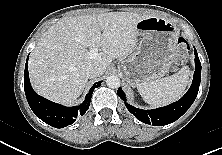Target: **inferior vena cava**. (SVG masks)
Segmentation results:
<instances>
[{"label":"inferior vena cava","instance_id":"inferior-vena-cava-1","mask_svg":"<svg viewBox=\"0 0 222 155\" xmlns=\"http://www.w3.org/2000/svg\"><path fill=\"white\" fill-rule=\"evenodd\" d=\"M103 72H104V69L101 66L96 65V64H91L87 66L85 70L86 76L88 78L99 77L103 74Z\"/></svg>","mask_w":222,"mask_h":155}]
</instances>
